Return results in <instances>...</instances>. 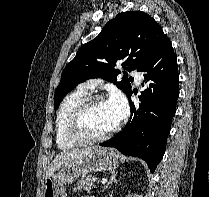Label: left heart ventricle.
Listing matches in <instances>:
<instances>
[{
    "label": "left heart ventricle",
    "mask_w": 209,
    "mask_h": 197,
    "mask_svg": "<svg viewBox=\"0 0 209 197\" xmlns=\"http://www.w3.org/2000/svg\"><path fill=\"white\" fill-rule=\"evenodd\" d=\"M113 127L104 102H97L85 113L83 118V130L89 136H98Z\"/></svg>",
    "instance_id": "obj_1"
}]
</instances>
